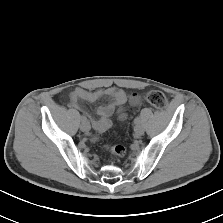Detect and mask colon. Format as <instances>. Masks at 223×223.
<instances>
[{
    "label": "colon",
    "mask_w": 223,
    "mask_h": 223,
    "mask_svg": "<svg viewBox=\"0 0 223 223\" xmlns=\"http://www.w3.org/2000/svg\"><path fill=\"white\" fill-rule=\"evenodd\" d=\"M147 102L154 108L162 110L167 105L166 97L159 91H149L145 96ZM110 151L117 156H124L126 148L122 145H114L109 147Z\"/></svg>",
    "instance_id": "colon-1"
}]
</instances>
